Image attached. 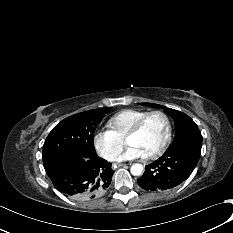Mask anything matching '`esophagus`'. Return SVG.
I'll return each instance as SVG.
<instances>
[{
  "instance_id": "obj_1",
  "label": "esophagus",
  "mask_w": 233,
  "mask_h": 233,
  "mask_svg": "<svg viewBox=\"0 0 233 233\" xmlns=\"http://www.w3.org/2000/svg\"><path fill=\"white\" fill-rule=\"evenodd\" d=\"M117 165H118V167H123V166H125V164H123V163H118Z\"/></svg>"
}]
</instances>
